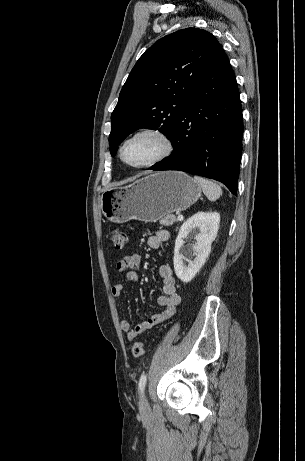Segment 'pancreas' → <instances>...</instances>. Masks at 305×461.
Returning a JSON list of instances; mask_svg holds the SVG:
<instances>
[{
    "label": "pancreas",
    "mask_w": 305,
    "mask_h": 461,
    "mask_svg": "<svg viewBox=\"0 0 305 461\" xmlns=\"http://www.w3.org/2000/svg\"><path fill=\"white\" fill-rule=\"evenodd\" d=\"M177 221V218L173 214H168L160 220V224L164 226H171L174 222Z\"/></svg>",
    "instance_id": "cf45deb5"
}]
</instances>
